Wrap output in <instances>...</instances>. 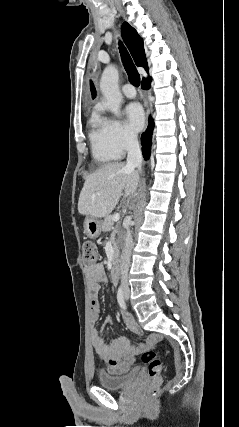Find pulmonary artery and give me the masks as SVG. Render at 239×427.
Returning <instances> with one entry per match:
<instances>
[{
    "label": "pulmonary artery",
    "mask_w": 239,
    "mask_h": 427,
    "mask_svg": "<svg viewBox=\"0 0 239 427\" xmlns=\"http://www.w3.org/2000/svg\"><path fill=\"white\" fill-rule=\"evenodd\" d=\"M122 91L128 98H134L136 96L135 88L131 84L124 85Z\"/></svg>",
    "instance_id": "e3ab8cb5"
}]
</instances>
